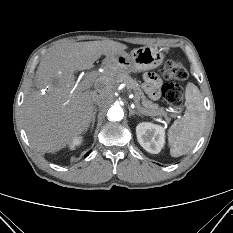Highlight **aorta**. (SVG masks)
Listing matches in <instances>:
<instances>
[{"label": "aorta", "mask_w": 233, "mask_h": 233, "mask_svg": "<svg viewBox=\"0 0 233 233\" xmlns=\"http://www.w3.org/2000/svg\"><path fill=\"white\" fill-rule=\"evenodd\" d=\"M107 116L110 120L120 121L123 119L124 113L119 106H112L107 113Z\"/></svg>", "instance_id": "1"}]
</instances>
